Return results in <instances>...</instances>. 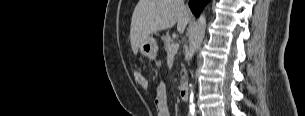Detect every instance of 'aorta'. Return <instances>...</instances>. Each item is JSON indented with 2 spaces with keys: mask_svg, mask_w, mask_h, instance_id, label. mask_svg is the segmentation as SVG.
Segmentation results:
<instances>
[{
  "mask_svg": "<svg viewBox=\"0 0 305 116\" xmlns=\"http://www.w3.org/2000/svg\"><path fill=\"white\" fill-rule=\"evenodd\" d=\"M206 31V17L203 13L199 19L197 20L195 27L193 28L191 39H190V48L192 52L198 51L199 47L201 46L203 39L205 37ZM190 89V99H189V110L190 112L195 111V105L193 103L194 100V93H193V85H189Z\"/></svg>",
  "mask_w": 305,
  "mask_h": 116,
  "instance_id": "762f6f07",
  "label": "aorta"
}]
</instances>
